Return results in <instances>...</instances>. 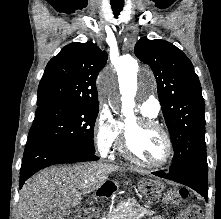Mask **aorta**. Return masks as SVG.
Segmentation results:
<instances>
[{"label":"aorta","instance_id":"aorta-1","mask_svg":"<svg viewBox=\"0 0 221 219\" xmlns=\"http://www.w3.org/2000/svg\"><path fill=\"white\" fill-rule=\"evenodd\" d=\"M117 69L118 71L124 72L129 77H134L138 69V64L132 57H126L120 60ZM100 90L104 98L108 99L110 102L118 103V97L115 92V80L113 76L104 74L101 77ZM134 95L135 88H132L126 96L121 98V111L126 117L134 116Z\"/></svg>","mask_w":221,"mask_h":219}]
</instances>
